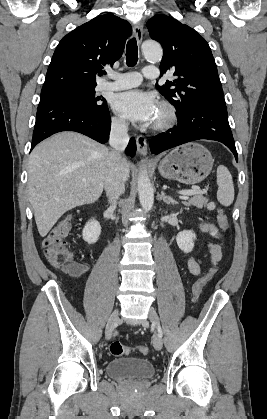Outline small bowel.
<instances>
[{
	"mask_svg": "<svg viewBox=\"0 0 267 419\" xmlns=\"http://www.w3.org/2000/svg\"><path fill=\"white\" fill-rule=\"evenodd\" d=\"M200 230L203 233L209 234L212 237H217L218 236V230L217 228L211 224V223H202L199 226ZM208 249L211 255V262L212 264L216 265L218 264V262L221 260L222 257V252H221V248L218 244L216 243H208ZM187 265L188 268L190 270V272L195 275L198 276L201 273V262L193 257L188 258L187 260ZM84 269L81 270V272H83Z\"/></svg>",
	"mask_w": 267,
	"mask_h": 419,
	"instance_id": "1",
	"label": "small bowel"
}]
</instances>
